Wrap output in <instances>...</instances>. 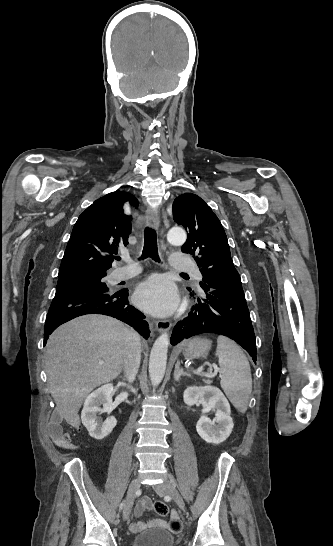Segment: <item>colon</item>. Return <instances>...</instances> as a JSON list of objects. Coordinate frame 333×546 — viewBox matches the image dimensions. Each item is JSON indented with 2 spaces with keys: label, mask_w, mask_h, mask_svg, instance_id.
<instances>
[{
  "label": "colon",
  "mask_w": 333,
  "mask_h": 546,
  "mask_svg": "<svg viewBox=\"0 0 333 546\" xmlns=\"http://www.w3.org/2000/svg\"><path fill=\"white\" fill-rule=\"evenodd\" d=\"M153 507L154 511L160 516H166L169 512L167 504L163 501H156Z\"/></svg>",
  "instance_id": "colon-1"
}]
</instances>
